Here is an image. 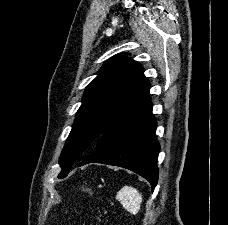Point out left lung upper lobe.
I'll list each match as a JSON object with an SVG mask.
<instances>
[{
    "label": "left lung upper lobe",
    "instance_id": "5c2ea615",
    "mask_svg": "<svg viewBox=\"0 0 228 225\" xmlns=\"http://www.w3.org/2000/svg\"><path fill=\"white\" fill-rule=\"evenodd\" d=\"M150 83L143 68L126 54L115 55L103 64L97 77L85 89L82 105L60 156L66 177L78 159L88 156L101 135L148 94Z\"/></svg>",
    "mask_w": 228,
    "mask_h": 225
}]
</instances>
